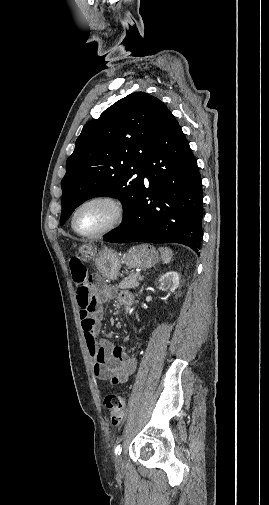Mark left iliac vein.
Here are the masks:
<instances>
[{"label": "left iliac vein", "instance_id": "1", "mask_svg": "<svg viewBox=\"0 0 269 505\" xmlns=\"http://www.w3.org/2000/svg\"><path fill=\"white\" fill-rule=\"evenodd\" d=\"M115 467H116L117 471L124 470V461H123L122 455H117L115 457Z\"/></svg>", "mask_w": 269, "mask_h": 505}]
</instances>
